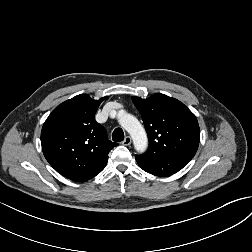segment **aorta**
I'll use <instances>...</instances> for the list:
<instances>
[{
    "label": "aorta",
    "mask_w": 252,
    "mask_h": 252,
    "mask_svg": "<svg viewBox=\"0 0 252 252\" xmlns=\"http://www.w3.org/2000/svg\"><path fill=\"white\" fill-rule=\"evenodd\" d=\"M119 122L132 137L135 149L138 152H144L147 148L148 139L145 129L138 119L131 114L123 112L119 117Z\"/></svg>",
    "instance_id": "762f6f07"
}]
</instances>
